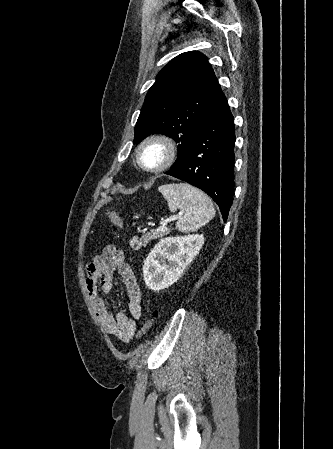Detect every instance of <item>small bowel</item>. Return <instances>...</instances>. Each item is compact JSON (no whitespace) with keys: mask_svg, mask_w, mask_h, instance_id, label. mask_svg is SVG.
Listing matches in <instances>:
<instances>
[{"mask_svg":"<svg viewBox=\"0 0 333 449\" xmlns=\"http://www.w3.org/2000/svg\"><path fill=\"white\" fill-rule=\"evenodd\" d=\"M114 273L120 276L125 287L128 312L113 314L100 294V291L105 294L111 292ZM86 287L96 316L105 331L124 343L130 342L142 314V297L135 273L125 262L121 250L109 245L92 259L86 266Z\"/></svg>","mask_w":333,"mask_h":449,"instance_id":"obj_1","label":"small bowel"}]
</instances>
